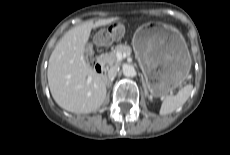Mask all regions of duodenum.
<instances>
[{"label": "duodenum", "instance_id": "1", "mask_svg": "<svg viewBox=\"0 0 230 155\" xmlns=\"http://www.w3.org/2000/svg\"><path fill=\"white\" fill-rule=\"evenodd\" d=\"M94 70L95 72L98 74V75H104L105 73V66L104 64L101 62V61H97L95 64H94Z\"/></svg>", "mask_w": 230, "mask_h": 155}]
</instances>
